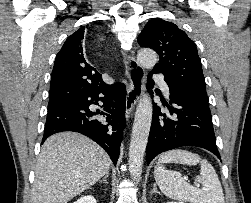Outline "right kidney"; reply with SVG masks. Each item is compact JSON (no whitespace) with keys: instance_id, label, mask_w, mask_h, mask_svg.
Here are the masks:
<instances>
[{"instance_id":"right-kidney-1","label":"right kidney","mask_w":251,"mask_h":203,"mask_svg":"<svg viewBox=\"0 0 251 203\" xmlns=\"http://www.w3.org/2000/svg\"><path fill=\"white\" fill-rule=\"evenodd\" d=\"M73 203H96V200L92 195H87V196H82Z\"/></svg>"}]
</instances>
